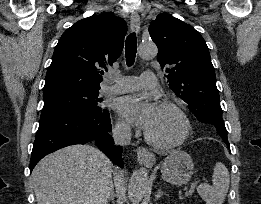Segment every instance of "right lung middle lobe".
<instances>
[{
    "instance_id": "1",
    "label": "right lung middle lobe",
    "mask_w": 261,
    "mask_h": 204,
    "mask_svg": "<svg viewBox=\"0 0 261 204\" xmlns=\"http://www.w3.org/2000/svg\"><path fill=\"white\" fill-rule=\"evenodd\" d=\"M42 111L61 107H100L98 90H70L44 94Z\"/></svg>"
}]
</instances>
